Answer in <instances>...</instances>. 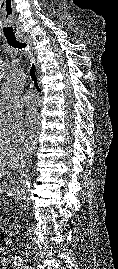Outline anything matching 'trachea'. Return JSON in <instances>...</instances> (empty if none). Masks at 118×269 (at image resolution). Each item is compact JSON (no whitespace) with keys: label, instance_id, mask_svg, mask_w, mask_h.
Returning <instances> with one entry per match:
<instances>
[{"label":"trachea","instance_id":"1","mask_svg":"<svg viewBox=\"0 0 118 269\" xmlns=\"http://www.w3.org/2000/svg\"><path fill=\"white\" fill-rule=\"evenodd\" d=\"M7 42L10 46H12L14 48H19V49L25 48L27 46L25 43L19 42L16 39H7ZM30 76H31L32 80L34 81L35 88L37 89V91L41 92V89H40L39 84H38L37 76H36L35 64H32V66H31Z\"/></svg>","mask_w":118,"mask_h":269}]
</instances>
